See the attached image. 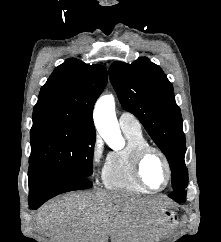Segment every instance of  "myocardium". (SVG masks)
Instances as JSON below:
<instances>
[{
  "mask_svg": "<svg viewBox=\"0 0 221 242\" xmlns=\"http://www.w3.org/2000/svg\"><path fill=\"white\" fill-rule=\"evenodd\" d=\"M155 153L157 154L163 161L165 168H166V173H167V178L166 182L163 187L161 188H153L151 187L144 179L143 173H142V167L143 163L146 160V158L152 154ZM133 172L134 175L137 179V181L147 190L153 191V192H159L165 190L169 184L171 183L172 180V166L171 163L167 157V155L158 147L152 146V145H144L140 148H138L133 156Z\"/></svg>",
  "mask_w": 221,
  "mask_h": 242,
  "instance_id": "obj_1",
  "label": "myocardium"
}]
</instances>
